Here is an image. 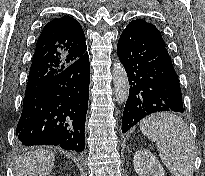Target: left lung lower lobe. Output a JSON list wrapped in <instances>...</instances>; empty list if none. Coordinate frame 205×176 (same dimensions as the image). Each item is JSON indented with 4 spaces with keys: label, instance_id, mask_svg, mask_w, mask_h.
<instances>
[{
    "label": "left lung lower lobe",
    "instance_id": "obj_1",
    "mask_svg": "<svg viewBox=\"0 0 205 176\" xmlns=\"http://www.w3.org/2000/svg\"><path fill=\"white\" fill-rule=\"evenodd\" d=\"M117 54L130 85L123 133L151 113L184 112L179 79L165 44L127 26L119 38Z\"/></svg>",
    "mask_w": 205,
    "mask_h": 176
}]
</instances>
